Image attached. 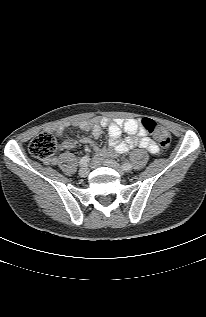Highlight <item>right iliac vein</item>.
Returning <instances> with one entry per match:
<instances>
[{"label": "right iliac vein", "instance_id": "1", "mask_svg": "<svg viewBox=\"0 0 206 317\" xmlns=\"http://www.w3.org/2000/svg\"><path fill=\"white\" fill-rule=\"evenodd\" d=\"M89 174V169L85 166V167H82L80 170H79V175L81 177H86L88 176Z\"/></svg>", "mask_w": 206, "mask_h": 317}]
</instances>
